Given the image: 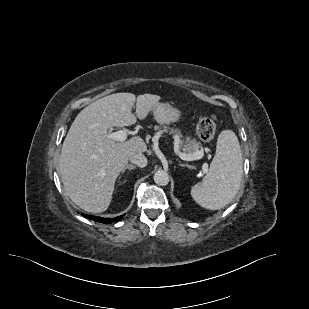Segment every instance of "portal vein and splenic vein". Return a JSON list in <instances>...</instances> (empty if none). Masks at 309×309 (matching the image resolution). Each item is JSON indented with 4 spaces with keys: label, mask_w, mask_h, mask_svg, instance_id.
<instances>
[{
    "label": "portal vein and splenic vein",
    "mask_w": 309,
    "mask_h": 309,
    "mask_svg": "<svg viewBox=\"0 0 309 309\" xmlns=\"http://www.w3.org/2000/svg\"><path fill=\"white\" fill-rule=\"evenodd\" d=\"M128 134L129 132L125 130H119L117 132L107 133V138L114 141L124 142L127 139ZM178 155L182 160L193 161L201 159L204 153L203 151H196L194 154H185L182 152H178ZM202 168L205 172H207V164H204Z\"/></svg>",
    "instance_id": "portal-vein-and-splenic-vein-1"
}]
</instances>
